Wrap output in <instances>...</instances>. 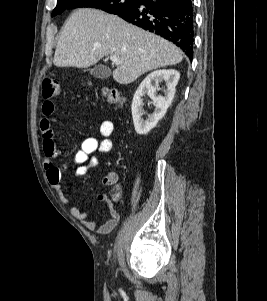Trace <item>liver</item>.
Wrapping results in <instances>:
<instances>
[{"instance_id":"liver-1","label":"liver","mask_w":267,"mask_h":301,"mask_svg":"<svg viewBox=\"0 0 267 301\" xmlns=\"http://www.w3.org/2000/svg\"><path fill=\"white\" fill-rule=\"evenodd\" d=\"M106 55L120 59L113 79L125 85L148 71L176 65L183 59L172 43L116 15L91 8L74 11L62 28L54 65L86 68Z\"/></svg>"}]
</instances>
